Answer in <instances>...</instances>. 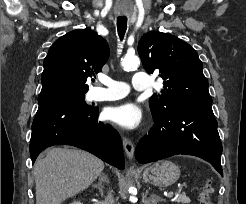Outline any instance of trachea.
I'll list each match as a JSON object with an SVG mask.
<instances>
[{"label":"trachea","mask_w":246,"mask_h":204,"mask_svg":"<svg viewBox=\"0 0 246 204\" xmlns=\"http://www.w3.org/2000/svg\"><path fill=\"white\" fill-rule=\"evenodd\" d=\"M117 30H118V35L122 40L127 30V18L125 17L117 18Z\"/></svg>","instance_id":"3493384b"}]
</instances>
